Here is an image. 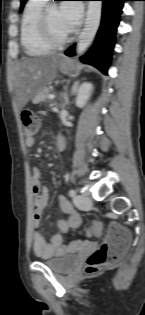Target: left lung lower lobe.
<instances>
[{
  "label": "left lung lower lobe",
  "instance_id": "left-lung-lower-lobe-1",
  "mask_svg": "<svg viewBox=\"0 0 145 315\" xmlns=\"http://www.w3.org/2000/svg\"><path fill=\"white\" fill-rule=\"evenodd\" d=\"M94 1H103L101 26L93 47L81 58V61L93 65L107 74V66L110 64L112 49L115 44V33L119 24L123 2L129 0ZM74 50L75 45H72L67 49L65 54L67 56H73L75 55Z\"/></svg>",
  "mask_w": 145,
  "mask_h": 315
}]
</instances>
